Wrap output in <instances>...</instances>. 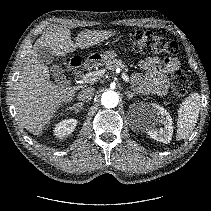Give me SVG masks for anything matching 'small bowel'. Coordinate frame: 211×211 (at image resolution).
Wrapping results in <instances>:
<instances>
[{"instance_id": "1", "label": "small bowel", "mask_w": 211, "mask_h": 211, "mask_svg": "<svg viewBox=\"0 0 211 211\" xmlns=\"http://www.w3.org/2000/svg\"><path fill=\"white\" fill-rule=\"evenodd\" d=\"M140 67L145 74L133 75L137 87L143 92L161 96L167 92L169 75L179 67V62L175 58L163 61L159 57H148L140 61Z\"/></svg>"}]
</instances>
